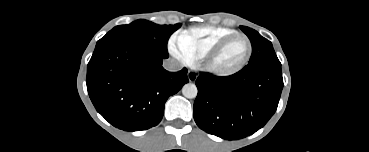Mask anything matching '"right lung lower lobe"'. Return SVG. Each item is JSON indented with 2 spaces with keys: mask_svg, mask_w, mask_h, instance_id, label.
<instances>
[{
  "mask_svg": "<svg viewBox=\"0 0 369 152\" xmlns=\"http://www.w3.org/2000/svg\"><path fill=\"white\" fill-rule=\"evenodd\" d=\"M145 45L117 41L95 49L87 67L89 97L110 124L124 131L156 126L168 97L188 83L187 69L168 72Z\"/></svg>",
  "mask_w": 369,
  "mask_h": 152,
  "instance_id": "1",
  "label": "right lung lower lobe"
}]
</instances>
